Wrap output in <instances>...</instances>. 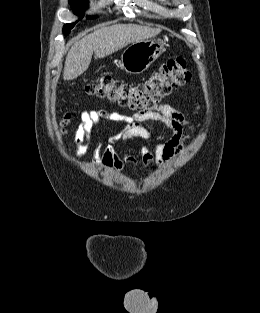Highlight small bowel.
I'll return each mask as SVG.
<instances>
[{
    "label": "small bowel",
    "mask_w": 260,
    "mask_h": 313,
    "mask_svg": "<svg viewBox=\"0 0 260 313\" xmlns=\"http://www.w3.org/2000/svg\"><path fill=\"white\" fill-rule=\"evenodd\" d=\"M104 119L125 122V126L109 135V143L102 145L101 137L90 163L92 167L103 171L116 170L122 172L124 164L137 168V159L125 151L117 149L119 141H137L141 145V161L145 167L153 170L156 166L167 165L184 150L188 136L186 131L193 127L187 117L168 104H158L153 109L126 116L116 112L103 110H85L80 114V123L74 133L75 154L83 159L89 146L94 129L101 130ZM143 122L161 123L172 132L166 141H158ZM150 142L151 145H147Z\"/></svg>",
    "instance_id": "obj_1"
}]
</instances>
